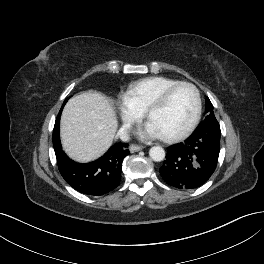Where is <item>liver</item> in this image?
<instances>
[{"label":"liver","mask_w":264,"mask_h":264,"mask_svg":"<svg viewBox=\"0 0 264 264\" xmlns=\"http://www.w3.org/2000/svg\"><path fill=\"white\" fill-rule=\"evenodd\" d=\"M118 120L112 102L98 92H83L65 105L60 123L65 152L78 162L105 153L116 135Z\"/></svg>","instance_id":"1"}]
</instances>
